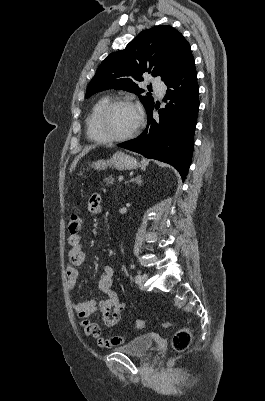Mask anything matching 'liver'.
Here are the masks:
<instances>
[{
    "label": "liver",
    "mask_w": 265,
    "mask_h": 401,
    "mask_svg": "<svg viewBox=\"0 0 265 401\" xmlns=\"http://www.w3.org/2000/svg\"><path fill=\"white\" fill-rule=\"evenodd\" d=\"M97 144H89V146H84L82 152H79L78 156H75L71 166H70V172H72V170H74L79 158H81V156H85V154H87V152H89V150H91V148H96Z\"/></svg>",
    "instance_id": "obj_1"
}]
</instances>
